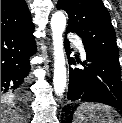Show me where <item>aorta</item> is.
Masks as SVG:
<instances>
[{"label":"aorta","instance_id":"762f6f07","mask_svg":"<svg viewBox=\"0 0 122 123\" xmlns=\"http://www.w3.org/2000/svg\"><path fill=\"white\" fill-rule=\"evenodd\" d=\"M66 28V16L58 11L51 18V30L54 50V77L55 94L61 96L66 87V63L63 47V32Z\"/></svg>","mask_w":122,"mask_h":123}]
</instances>
